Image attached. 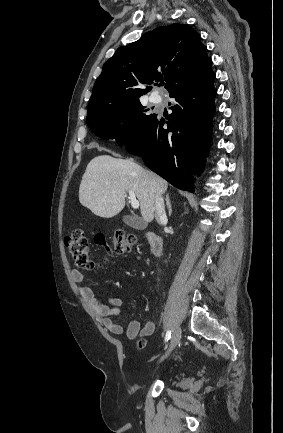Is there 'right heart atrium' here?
Listing matches in <instances>:
<instances>
[{
    "label": "right heart atrium",
    "instance_id": "1",
    "mask_svg": "<svg viewBox=\"0 0 283 433\" xmlns=\"http://www.w3.org/2000/svg\"><path fill=\"white\" fill-rule=\"evenodd\" d=\"M124 125H125L126 127H128V126L130 125V123H129L128 121H126V122L124 123Z\"/></svg>",
    "mask_w": 283,
    "mask_h": 433
}]
</instances>
